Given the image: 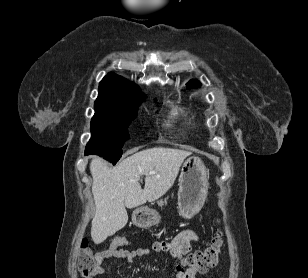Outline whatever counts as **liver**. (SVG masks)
Here are the masks:
<instances>
[{
    "label": "liver",
    "instance_id": "1",
    "mask_svg": "<svg viewBox=\"0 0 308 278\" xmlns=\"http://www.w3.org/2000/svg\"><path fill=\"white\" fill-rule=\"evenodd\" d=\"M191 152L155 147L127 157L110 168L100 157L90 162L93 177L92 194L96 212L91 237L100 244L128 222L126 207L134 208L163 196L174 184L181 164ZM154 171L155 174H150ZM145 175L141 188L140 176Z\"/></svg>",
    "mask_w": 308,
    "mask_h": 278
}]
</instances>
